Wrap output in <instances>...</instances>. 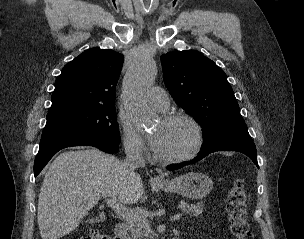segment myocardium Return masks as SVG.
Returning a JSON list of instances; mask_svg holds the SVG:
<instances>
[{
	"instance_id": "f54148a6",
	"label": "myocardium",
	"mask_w": 304,
	"mask_h": 239,
	"mask_svg": "<svg viewBox=\"0 0 304 239\" xmlns=\"http://www.w3.org/2000/svg\"><path fill=\"white\" fill-rule=\"evenodd\" d=\"M163 120L165 122L183 121L189 124L194 132V142L190 149L183 154L176 156H164L155 153V159L161 163L175 164L194 158L204 144V131L201 124L191 115L182 112L167 114L164 116Z\"/></svg>"
}]
</instances>
